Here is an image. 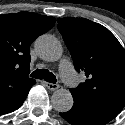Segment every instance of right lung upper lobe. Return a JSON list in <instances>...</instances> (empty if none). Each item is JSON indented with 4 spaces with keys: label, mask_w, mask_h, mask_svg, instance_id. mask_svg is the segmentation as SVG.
<instances>
[{
    "label": "right lung upper lobe",
    "mask_w": 125,
    "mask_h": 125,
    "mask_svg": "<svg viewBox=\"0 0 125 125\" xmlns=\"http://www.w3.org/2000/svg\"><path fill=\"white\" fill-rule=\"evenodd\" d=\"M54 24V17L36 13L0 15V94L36 82L28 77L30 45Z\"/></svg>",
    "instance_id": "cb5924a9"
}]
</instances>
